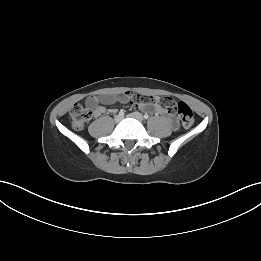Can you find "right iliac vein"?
I'll list each match as a JSON object with an SVG mask.
<instances>
[{
  "mask_svg": "<svg viewBox=\"0 0 261 261\" xmlns=\"http://www.w3.org/2000/svg\"><path fill=\"white\" fill-rule=\"evenodd\" d=\"M122 116H120V115H116L115 117H114V120H115V122L116 123H118V122H120L121 120H122Z\"/></svg>",
  "mask_w": 261,
  "mask_h": 261,
  "instance_id": "obj_1",
  "label": "right iliac vein"
}]
</instances>
